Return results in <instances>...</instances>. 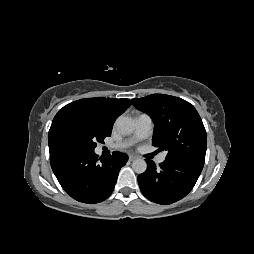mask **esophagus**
I'll list each match as a JSON object with an SVG mask.
<instances>
[{
  "label": "esophagus",
  "mask_w": 254,
  "mask_h": 254,
  "mask_svg": "<svg viewBox=\"0 0 254 254\" xmlns=\"http://www.w3.org/2000/svg\"><path fill=\"white\" fill-rule=\"evenodd\" d=\"M137 157L135 156V155H129L128 156V160L129 161H133V160H135Z\"/></svg>",
  "instance_id": "esophagus-1"
}]
</instances>
